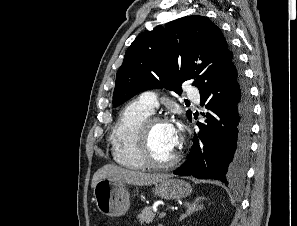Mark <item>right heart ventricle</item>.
<instances>
[{
	"label": "right heart ventricle",
	"mask_w": 297,
	"mask_h": 226,
	"mask_svg": "<svg viewBox=\"0 0 297 226\" xmlns=\"http://www.w3.org/2000/svg\"><path fill=\"white\" fill-rule=\"evenodd\" d=\"M152 113L139 99L123 108L110 134L112 157L117 164L128 169L145 167L137 149V132Z\"/></svg>",
	"instance_id": "obj_1"
}]
</instances>
